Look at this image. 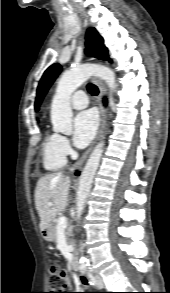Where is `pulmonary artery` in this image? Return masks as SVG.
Returning a JSON list of instances; mask_svg holds the SVG:
<instances>
[{"instance_id":"1","label":"pulmonary artery","mask_w":170,"mask_h":293,"mask_svg":"<svg viewBox=\"0 0 170 293\" xmlns=\"http://www.w3.org/2000/svg\"><path fill=\"white\" fill-rule=\"evenodd\" d=\"M71 105L75 109H84L88 106V99L85 92L76 91L71 97Z\"/></svg>"}]
</instances>
